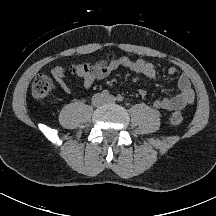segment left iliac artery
<instances>
[{"mask_svg": "<svg viewBox=\"0 0 216 216\" xmlns=\"http://www.w3.org/2000/svg\"><path fill=\"white\" fill-rule=\"evenodd\" d=\"M116 99L117 101L122 102L124 97L122 95H117Z\"/></svg>", "mask_w": 216, "mask_h": 216, "instance_id": "left-iliac-artery-1", "label": "left iliac artery"}]
</instances>
